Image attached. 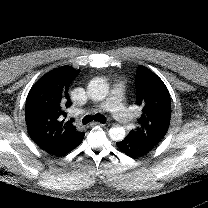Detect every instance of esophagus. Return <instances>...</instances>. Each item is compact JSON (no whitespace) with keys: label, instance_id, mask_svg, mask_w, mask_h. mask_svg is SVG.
I'll return each instance as SVG.
<instances>
[{"label":"esophagus","instance_id":"esophagus-1","mask_svg":"<svg viewBox=\"0 0 208 208\" xmlns=\"http://www.w3.org/2000/svg\"><path fill=\"white\" fill-rule=\"evenodd\" d=\"M95 125H98V126H101V127H108L110 124L108 122H104V123L93 122V123L90 124V126H95Z\"/></svg>","mask_w":208,"mask_h":208}]
</instances>
